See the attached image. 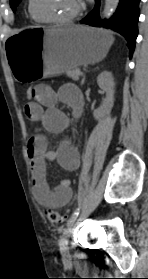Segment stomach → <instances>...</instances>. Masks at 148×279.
Here are the masks:
<instances>
[{"label":"stomach","mask_w":148,"mask_h":279,"mask_svg":"<svg viewBox=\"0 0 148 279\" xmlns=\"http://www.w3.org/2000/svg\"><path fill=\"white\" fill-rule=\"evenodd\" d=\"M110 32L85 26H40L23 29L7 39L6 59L18 85L43 82L82 65L104 59L113 44Z\"/></svg>","instance_id":"0dacf381"}]
</instances>
